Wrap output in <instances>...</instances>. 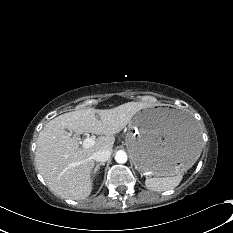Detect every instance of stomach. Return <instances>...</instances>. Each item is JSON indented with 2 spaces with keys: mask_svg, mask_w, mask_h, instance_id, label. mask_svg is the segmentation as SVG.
Segmentation results:
<instances>
[{
  "mask_svg": "<svg viewBox=\"0 0 233 233\" xmlns=\"http://www.w3.org/2000/svg\"><path fill=\"white\" fill-rule=\"evenodd\" d=\"M126 146L138 171L173 175L190 167L201 151L196 123L183 110L148 107L137 112Z\"/></svg>",
  "mask_w": 233,
  "mask_h": 233,
  "instance_id": "1",
  "label": "stomach"
}]
</instances>
